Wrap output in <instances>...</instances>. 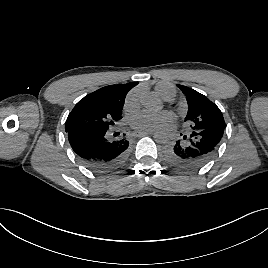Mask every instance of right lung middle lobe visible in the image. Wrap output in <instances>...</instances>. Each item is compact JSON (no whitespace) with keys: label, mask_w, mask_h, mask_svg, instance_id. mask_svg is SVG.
<instances>
[{"label":"right lung middle lobe","mask_w":268,"mask_h":268,"mask_svg":"<svg viewBox=\"0 0 268 268\" xmlns=\"http://www.w3.org/2000/svg\"><path fill=\"white\" fill-rule=\"evenodd\" d=\"M122 105L104 103L97 98H83L66 120L65 130H108L122 119Z\"/></svg>","instance_id":"dd1d6c3e"}]
</instances>
